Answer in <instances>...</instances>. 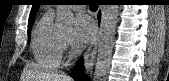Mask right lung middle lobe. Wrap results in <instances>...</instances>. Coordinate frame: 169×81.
I'll use <instances>...</instances> for the list:
<instances>
[{
	"label": "right lung middle lobe",
	"mask_w": 169,
	"mask_h": 81,
	"mask_svg": "<svg viewBox=\"0 0 169 81\" xmlns=\"http://www.w3.org/2000/svg\"><path fill=\"white\" fill-rule=\"evenodd\" d=\"M33 23H34V22H30V23H28V27H29V29H28V34H30V31H31V26L33 25Z\"/></svg>",
	"instance_id": "right-lung-middle-lobe-1"
}]
</instances>
